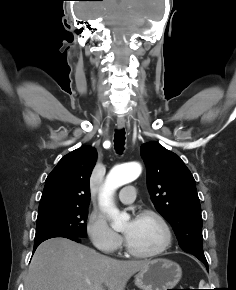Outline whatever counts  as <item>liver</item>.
<instances>
[{
  "instance_id": "1",
  "label": "liver",
  "mask_w": 236,
  "mask_h": 290,
  "mask_svg": "<svg viewBox=\"0 0 236 290\" xmlns=\"http://www.w3.org/2000/svg\"><path fill=\"white\" fill-rule=\"evenodd\" d=\"M149 261L116 260L66 238L41 243L31 260L25 290H124Z\"/></svg>"
}]
</instances>
